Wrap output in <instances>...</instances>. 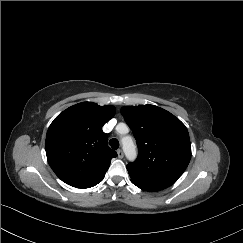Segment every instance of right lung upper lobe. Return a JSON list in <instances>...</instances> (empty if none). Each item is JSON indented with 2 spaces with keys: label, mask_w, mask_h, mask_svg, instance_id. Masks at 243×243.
<instances>
[{
  "label": "right lung upper lobe",
  "mask_w": 243,
  "mask_h": 243,
  "mask_svg": "<svg viewBox=\"0 0 243 243\" xmlns=\"http://www.w3.org/2000/svg\"><path fill=\"white\" fill-rule=\"evenodd\" d=\"M114 115V106L82 102L54 119L45 149L50 167L62 181L82 188L105 175L117 153L109 148L102 127Z\"/></svg>",
  "instance_id": "1"
}]
</instances>
